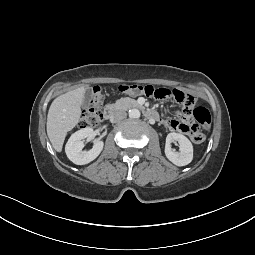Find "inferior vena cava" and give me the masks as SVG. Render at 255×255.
<instances>
[{"label":"inferior vena cava","instance_id":"1","mask_svg":"<svg viewBox=\"0 0 255 255\" xmlns=\"http://www.w3.org/2000/svg\"><path fill=\"white\" fill-rule=\"evenodd\" d=\"M126 117H127V113L125 111L116 110L111 114L110 120L111 122H118L125 119Z\"/></svg>","mask_w":255,"mask_h":255}]
</instances>
